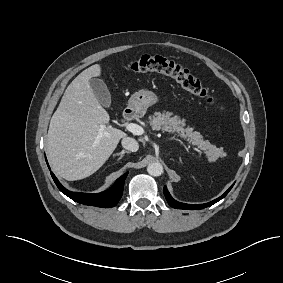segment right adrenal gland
I'll return each mask as SVG.
<instances>
[{
	"label": "right adrenal gland",
	"instance_id": "right-adrenal-gland-1",
	"mask_svg": "<svg viewBox=\"0 0 283 283\" xmlns=\"http://www.w3.org/2000/svg\"><path fill=\"white\" fill-rule=\"evenodd\" d=\"M125 153L129 154L130 151L122 150L120 153L114 154V157L119 156V158H118V161H119L124 156Z\"/></svg>",
	"mask_w": 283,
	"mask_h": 283
}]
</instances>
